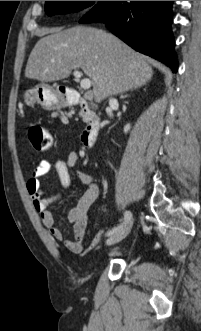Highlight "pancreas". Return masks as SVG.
Segmentation results:
<instances>
[{"instance_id": "cf45deb5", "label": "pancreas", "mask_w": 201, "mask_h": 331, "mask_svg": "<svg viewBox=\"0 0 201 331\" xmlns=\"http://www.w3.org/2000/svg\"><path fill=\"white\" fill-rule=\"evenodd\" d=\"M79 115L82 117V119H83L84 122H88V118H87L86 115L83 113V111H81Z\"/></svg>"}]
</instances>
